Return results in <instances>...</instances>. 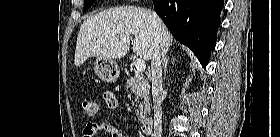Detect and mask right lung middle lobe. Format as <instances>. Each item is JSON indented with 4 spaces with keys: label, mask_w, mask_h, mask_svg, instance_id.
Wrapping results in <instances>:
<instances>
[{
    "label": "right lung middle lobe",
    "mask_w": 280,
    "mask_h": 137,
    "mask_svg": "<svg viewBox=\"0 0 280 137\" xmlns=\"http://www.w3.org/2000/svg\"><path fill=\"white\" fill-rule=\"evenodd\" d=\"M94 2H95V0H85L83 11H86L87 9H89L93 5Z\"/></svg>",
    "instance_id": "obj_1"
}]
</instances>
